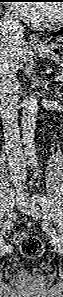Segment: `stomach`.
Listing matches in <instances>:
<instances>
[{"label": "stomach", "mask_w": 63, "mask_h": 297, "mask_svg": "<svg viewBox=\"0 0 63 297\" xmlns=\"http://www.w3.org/2000/svg\"><path fill=\"white\" fill-rule=\"evenodd\" d=\"M34 51L41 57L63 66V39H59L43 49L34 48Z\"/></svg>", "instance_id": "stomach-1"}]
</instances>
